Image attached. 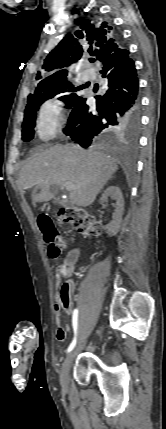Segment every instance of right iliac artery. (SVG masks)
<instances>
[{"label":"right iliac artery","instance_id":"1","mask_svg":"<svg viewBox=\"0 0 166 429\" xmlns=\"http://www.w3.org/2000/svg\"><path fill=\"white\" fill-rule=\"evenodd\" d=\"M77 327H78V310L75 309L73 311V330H74V338L73 341L71 342V344L69 345L67 352H70L73 350V348L76 345V341H77Z\"/></svg>","mask_w":166,"mask_h":429}]
</instances>
